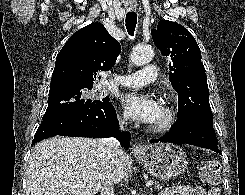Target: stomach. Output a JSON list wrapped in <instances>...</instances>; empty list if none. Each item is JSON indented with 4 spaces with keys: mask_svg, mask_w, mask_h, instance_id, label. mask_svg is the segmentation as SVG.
Here are the masks:
<instances>
[{
    "mask_svg": "<svg viewBox=\"0 0 245 195\" xmlns=\"http://www.w3.org/2000/svg\"><path fill=\"white\" fill-rule=\"evenodd\" d=\"M135 158L152 176L169 180L182 174L188 165L186 153L174 144L144 146Z\"/></svg>",
    "mask_w": 245,
    "mask_h": 195,
    "instance_id": "1",
    "label": "stomach"
}]
</instances>
